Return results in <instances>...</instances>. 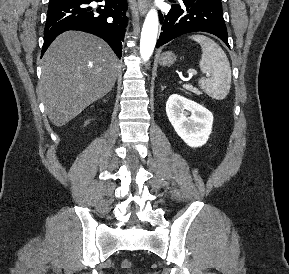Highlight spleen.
Instances as JSON below:
<instances>
[{
    "instance_id": "spleen-1",
    "label": "spleen",
    "mask_w": 289,
    "mask_h": 274,
    "mask_svg": "<svg viewBox=\"0 0 289 274\" xmlns=\"http://www.w3.org/2000/svg\"><path fill=\"white\" fill-rule=\"evenodd\" d=\"M189 38L201 45L199 66L202 73L211 75L199 80L200 88L213 99H224L231 87V68L225 52L215 41L204 35H192Z\"/></svg>"
}]
</instances>
